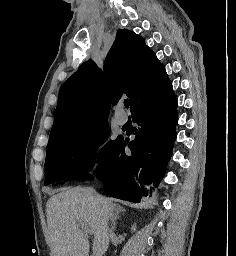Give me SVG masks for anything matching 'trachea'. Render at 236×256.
<instances>
[{"mask_svg": "<svg viewBox=\"0 0 236 256\" xmlns=\"http://www.w3.org/2000/svg\"><path fill=\"white\" fill-rule=\"evenodd\" d=\"M124 105L126 106V108H128L130 105V101L128 99L124 100Z\"/></svg>", "mask_w": 236, "mask_h": 256, "instance_id": "obj_1", "label": "trachea"}]
</instances>
